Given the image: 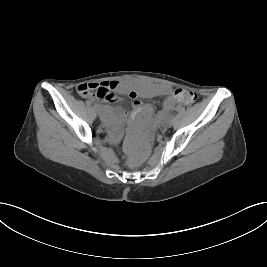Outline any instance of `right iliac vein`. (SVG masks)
<instances>
[{
	"label": "right iliac vein",
	"instance_id": "right-iliac-vein-1",
	"mask_svg": "<svg viewBox=\"0 0 267 267\" xmlns=\"http://www.w3.org/2000/svg\"><path fill=\"white\" fill-rule=\"evenodd\" d=\"M96 112H97V114H100V110L99 109H96Z\"/></svg>",
	"mask_w": 267,
	"mask_h": 267
}]
</instances>
